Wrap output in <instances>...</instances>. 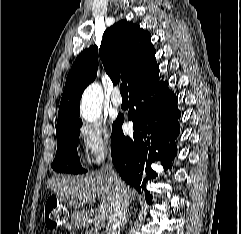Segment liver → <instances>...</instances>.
I'll list each match as a JSON object with an SVG mask.
<instances>
[{
  "instance_id": "obj_1",
  "label": "liver",
  "mask_w": 241,
  "mask_h": 234,
  "mask_svg": "<svg viewBox=\"0 0 241 234\" xmlns=\"http://www.w3.org/2000/svg\"><path fill=\"white\" fill-rule=\"evenodd\" d=\"M46 185L61 200L76 209L86 205L84 197H88L89 200H95L98 197L100 199L98 213L108 220L115 199V185L108 173L91 172L72 178H50ZM125 188L128 201L134 200L136 192L128 186Z\"/></svg>"
}]
</instances>
